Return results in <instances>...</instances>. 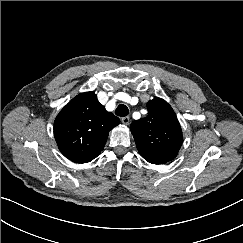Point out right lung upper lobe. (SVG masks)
<instances>
[{"instance_id":"cb5924a9","label":"right lung upper lobe","mask_w":243,"mask_h":243,"mask_svg":"<svg viewBox=\"0 0 243 243\" xmlns=\"http://www.w3.org/2000/svg\"><path fill=\"white\" fill-rule=\"evenodd\" d=\"M119 122L99 103L94 92H86L73 98L57 115L54 137L66 158L87 163L100 155L109 131Z\"/></svg>"}]
</instances>
